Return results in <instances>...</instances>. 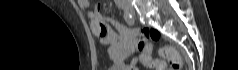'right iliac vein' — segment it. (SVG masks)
<instances>
[{"label": "right iliac vein", "mask_w": 238, "mask_h": 70, "mask_svg": "<svg viewBox=\"0 0 238 70\" xmlns=\"http://www.w3.org/2000/svg\"><path fill=\"white\" fill-rule=\"evenodd\" d=\"M126 10H129V7H125Z\"/></svg>", "instance_id": "63e3f726"}]
</instances>
